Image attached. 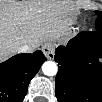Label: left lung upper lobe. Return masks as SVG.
Wrapping results in <instances>:
<instances>
[{
  "mask_svg": "<svg viewBox=\"0 0 102 102\" xmlns=\"http://www.w3.org/2000/svg\"><path fill=\"white\" fill-rule=\"evenodd\" d=\"M96 14L98 15L95 28L96 30L102 29V13L100 11H96Z\"/></svg>",
  "mask_w": 102,
  "mask_h": 102,
  "instance_id": "obj_1",
  "label": "left lung upper lobe"
}]
</instances>
